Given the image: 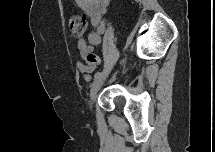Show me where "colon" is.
Segmentation results:
<instances>
[{"instance_id":"colon-1","label":"colon","mask_w":215,"mask_h":152,"mask_svg":"<svg viewBox=\"0 0 215 152\" xmlns=\"http://www.w3.org/2000/svg\"><path fill=\"white\" fill-rule=\"evenodd\" d=\"M87 17L85 15H74L69 19V27L71 33L75 37H80L84 34L87 28ZM85 61L87 63L88 71L93 70L100 64V58L93 52H87L84 55Z\"/></svg>"}]
</instances>
